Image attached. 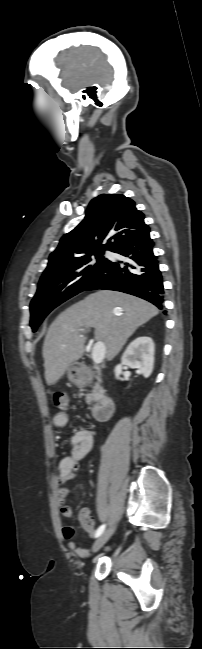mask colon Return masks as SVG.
I'll return each mask as SVG.
<instances>
[{
	"instance_id": "5ec220e1",
	"label": "colon",
	"mask_w": 202,
	"mask_h": 649,
	"mask_svg": "<svg viewBox=\"0 0 202 649\" xmlns=\"http://www.w3.org/2000/svg\"><path fill=\"white\" fill-rule=\"evenodd\" d=\"M53 401L56 407L64 409L68 404V395L64 391H58L53 394Z\"/></svg>"
}]
</instances>
